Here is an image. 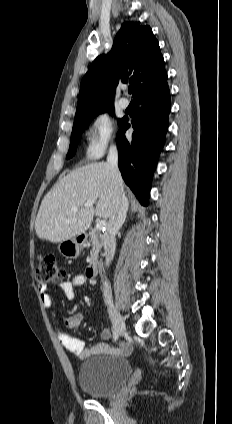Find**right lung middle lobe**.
<instances>
[{"label":"right lung middle lobe","instance_id":"right-lung-middle-lobe-1","mask_svg":"<svg viewBox=\"0 0 232 424\" xmlns=\"http://www.w3.org/2000/svg\"><path fill=\"white\" fill-rule=\"evenodd\" d=\"M106 111H108L111 115H114V108L109 107V108L101 109L89 116L82 117L74 121L72 134H71L70 147H69L68 154L66 156L67 158H71L72 156L75 155L81 133L85 130V128H87V126L92 121V119L98 114L104 113ZM123 121L124 119H119L118 120L119 125H121Z\"/></svg>","mask_w":232,"mask_h":424}]
</instances>
